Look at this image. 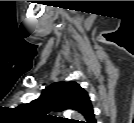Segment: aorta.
<instances>
[{"label": "aorta", "mask_w": 134, "mask_h": 123, "mask_svg": "<svg viewBox=\"0 0 134 123\" xmlns=\"http://www.w3.org/2000/svg\"><path fill=\"white\" fill-rule=\"evenodd\" d=\"M68 113H69V116L72 118H81V116L77 112L69 111Z\"/></svg>", "instance_id": "aorta-1"}]
</instances>
